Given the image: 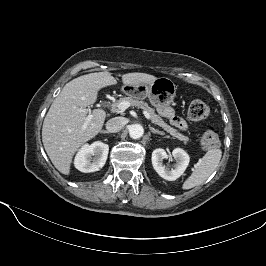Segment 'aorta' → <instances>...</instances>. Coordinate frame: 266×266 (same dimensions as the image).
Wrapping results in <instances>:
<instances>
[{
  "mask_svg": "<svg viewBox=\"0 0 266 266\" xmlns=\"http://www.w3.org/2000/svg\"><path fill=\"white\" fill-rule=\"evenodd\" d=\"M144 134V129L140 124H133L129 128V135L132 139H140Z\"/></svg>",
  "mask_w": 266,
  "mask_h": 266,
  "instance_id": "obj_1",
  "label": "aorta"
}]
</instances>
